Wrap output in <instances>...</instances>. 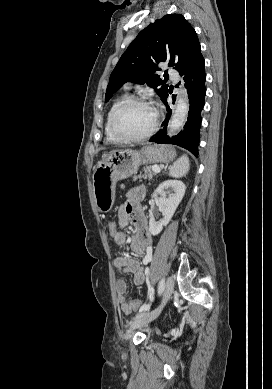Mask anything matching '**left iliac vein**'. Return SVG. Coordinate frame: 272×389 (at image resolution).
Segmentation results:
<instances>
[{"label": "left iliac vein", "instance_id": "obj_1", "mask_svg": "<svg viewBox=\"0 0 272 389\" xmlns=\"http://www.w3.org/2000/svg\"><path fill=\"white\" fill-rule=\"evenodd\" d=\"M173 290H174V279H173L172 276H170V277L167 278L166 283H165V287H164L163 294H162L163 302H162L161 306L158 307L157 309H155L154 311H152V312L142 316L141 318L133 321L129 325V328H128L127 333H126V336L128 338L131 337V335L134 332V330H136L137 328L145 326L146 324H148L149 322H151L152 320H154L155 318L158 317V315L160 314L163 306L170 299V297H171V295L173 293Z\"/></svg>", "mask_w": 272, "mask_h": 389}]
</instances>
